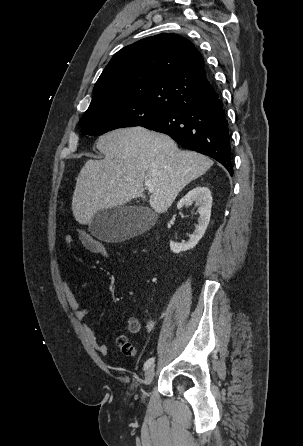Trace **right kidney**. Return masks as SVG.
<instances>
[{"label": "right kidney", "mask_w": 303, "mask_h": 446, "mask_svg": "<svg viewBox=\"0 0 303 446\" xmlns=\"http://www.w3.org/2000/svg\"><path fill=\"white\" fill-rule=\"evenodd\" d=\"M192 202H195L196 206H198V212L200 214L198 226L194 233L190 235L189 241L182 243L170 241V249L176 254L194 248L203 237L210 221L212 206L210 190L205 186L195 187L181 198L177 204V208L181 209L183 206L189 205Z\"/></svg>", "instance_id": "1"}]
</instances>
